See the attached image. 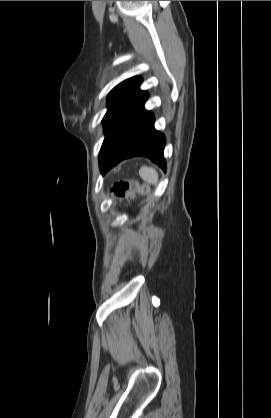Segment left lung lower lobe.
I'll list each match as a JSON object with an SVG mask.
<instances>
[{
  "label": "left lung lower lobe",
  "mask_w": 271,
  "mask_h": 418,
  "mask_svg": "<svg viewBox=\"0 0 271 418\" xmlns=\"http://www.w3.org/2000/svg\"><path fill=\"white\" fill-rule=\"evenodd\" d=\"M145 99L107 136L99 153V167L106 173L120 161L134 156L150 158L164 171L165 137L154 128V117L144 109Z\"/></svg>",
  "instance_id": "0a47b994"
}]
</instances>
